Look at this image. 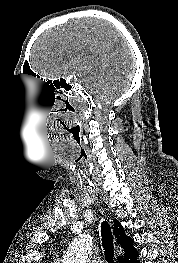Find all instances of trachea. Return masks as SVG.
<instances>
[{"instance_id":"trachea-1","label":"trachea","mask_w":178,"mask_h":263,"mask_svg":"<svg viewBox=\"0 0 178 263\" xmlns=\"http://www.w3.org/2000/svg\"><path fill=\"white\" fill-rule=\"evenodd\" d=\"M102 246L107 263H114V244L111 227L107 221L101 224Z\"/></svg>"}]
</instances>
